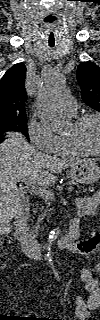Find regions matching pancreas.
<instances>
[{
    "instance_id": "pancreas-1",
    "label": "pancreas",
    "mask_w": 100,
    "mask_h": 320,
    "mask_svg": "<svg viewBox=\"0 0 100 320\" xmlns=\"http://www.w3.org/2000/svg\"><path fill=\"white\" fill-rule=\"evenodd\" d=\"M46 204H49V202H46ZM45 214H46V211H44V212L39 216L38 221H37V223H36V225H35V229L33 230V232H34L35 234H37L38 229H39V227H40V226H39V223H40V221L44 218Z\"/></svg>"
}]
</instances>
